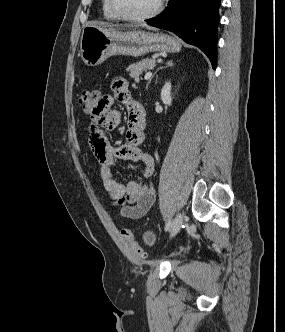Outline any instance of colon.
<instances>
[{"mask_svg": "<svg viewBox=\"0 0 285 332\" xmlns=\"http://www.w3.org/2000/svg\"><path fill=\"white\" fill-rule=\"evenodd\" d=\"M97 96H101V94L98 91H91V90L83 91L79 95L78 102L85 114H87L88 111H91L92 107L94 106V103H96L97 101ZM121 235L125 240V242L128 244V246L131 248V250L138 257L144 258L146 256L145 251L136 241L134 234L131 230L123 229L121 231ZM184 252L185 248H182L177 254H182Z\"/></svg>", "mask_w": 285, "mask_h": 332, "instance_id": "1", "label": "colon"}]
</instances>
